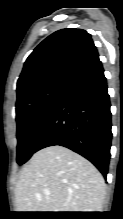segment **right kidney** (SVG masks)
Wrapping results in <instances>:
<instances>
[{
	"label": "right kidney",
	"mask_w": 123,
	"mask_h": 219,
	"mask_svg": "<svg viewBox=\"0 0 123 219\" xmlns=\"http://www.w3.org/2000/svg\"><path fill=\"white\" fill-rule=\"evenodd\" d=\"M91 210H84V212H90Z\"/></svg>",
	"instance_id": "obj_1"
}]
</instances>
